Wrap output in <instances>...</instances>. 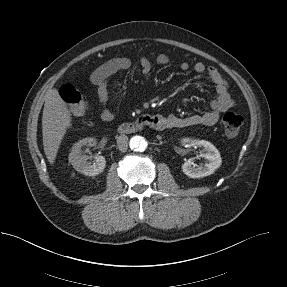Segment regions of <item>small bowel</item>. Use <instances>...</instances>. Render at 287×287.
I'll return each instance as SVG.
<instances>
[{"mask_svg":"<svg viewBox=\"0 0 287 287\" xmlns=\"http://www.w3.org/2000/svg\"><path fill=\"white\" fill-rule=\"evenodd\" d=\"M138 63L143 74H148L152 69V62L146 56H140ZM155 63L160 66H167L170 58L164 54H158ZM132 61L127 57H116L107 60L97 67L90 76L91 83L97 88L98 100L102 106L100 117L103 121H111L114 117L113 112L108 107L109 91L108 84L110 78L120 71L130 69ZM182 71L192 69L197 74H205L215 85L216 95L210 102L209 109L199 114H192L185 117L175 115L160 116V130L172 128H186L198 125L210 126L215 124L222 113L230 110L235 106L234 99L228 90V83L220 72L213 66H206L202 62H196L192 66L183 61L179 65Z\"/></svg>","mask_w":287,"mask_h":287,"instance_id":"c3829d8e","label":"small bowel"}]
</instances>
